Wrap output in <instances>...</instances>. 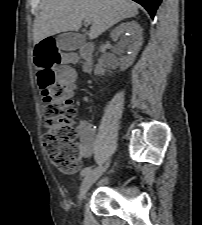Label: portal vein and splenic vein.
Wrapping results in <instances>:
<instances>
[{
  "label": "portal vein and splenic vein",
  "instance_id": "1",
  "mask_svg": "<svg viewBox=\"0 0 202 225\" xmlns=\"http://www.w3.org/2000/svg\"><path fill=\"white\" fill-rule=\"evenodd\" d=\"M85 22H86L87 24H91L92 21H91L90 19L86 18V19H85Z\"/></svg>",
  "mask_w": 202,
  "mask_h": 225
}]
</instances>
